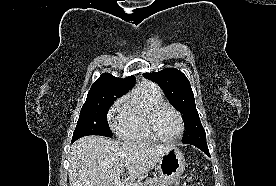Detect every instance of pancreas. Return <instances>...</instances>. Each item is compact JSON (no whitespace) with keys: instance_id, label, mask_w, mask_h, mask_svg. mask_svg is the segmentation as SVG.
<instances>
[{"instance_id":"1","label":"pancreas","mask_w":276,"mask_h":186,"mask_svg":"<svg viewBox=\"0 0 276 186\" xmlns=\"http://www.w3.org/2000/svg\"><path fill=\"white\" fill-rule=\"evenodd\" d=\"M141 186H167V180L163 177H155L153 179H148L143 185Z\"/></svg>"}]
</instances>
